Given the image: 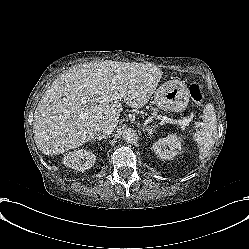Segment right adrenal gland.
I'll use <instances>...</instances> for the list:
<instances>
[{"label": "right adrenal gland", "mask_w": 249, "mask_h": 249, "mask_svg": "<svg viewBox=\"0 0 249 249\" xmlns=\"http://www.w3.org/2000/svg\"><path fill=\"white\" fill-rule=\"evenodd\" d=\"M108 138V136H100V135H98V137H96L95 139H93V141H96V140H98V141H101V140H103V139H107Z\"/></svg>", "instance_id": "1"}]
</instances>
